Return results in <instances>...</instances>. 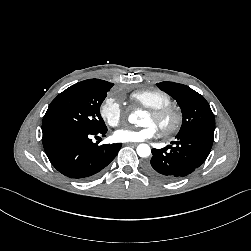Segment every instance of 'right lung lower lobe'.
Masks as SVG:
<instances>
[{"instance_id": "obj_1", "label": "right lung lower lobe", "mask_w": 251, "mask_h": 251, "mask_svg": "<svg viewBox=\"0 0 251 251\" xmlns=\"http://www.w3.org/2000/svg\"><path fill=\"white\" fill-rule=\"evenodd\" d=\"M107 128L85 131L50 128L43 131V146L51 164L63 175L86 180L104 169L118 154L121 144L98 146L90 139L105 136Z\"/></svg>"}]
</instances>
